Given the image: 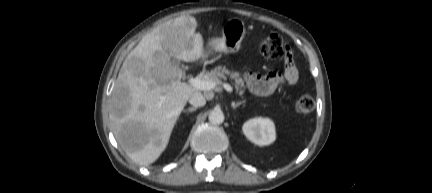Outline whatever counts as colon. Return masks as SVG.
<instances>
[{
  "label": "colon",
  "instance_id": "colon-1",
  "mask_svg": "<svg viewBox=\"0 0 432 193\" xmlns=\"http://www.w3.org/2000/svg\"><path fill=\"white\" fill-rule=\"evenodd\" d=\"M259 51L262 55L271 59L291 58L289 47L284 43L282 37L277 34L262 39L259 43ZM314 108L315 101L307 94L300 96L295 102V109L301 114L310 113Z\"/></svg>",
  "mask_w": 432,
  "mask_h": 193
}]
</instances>
